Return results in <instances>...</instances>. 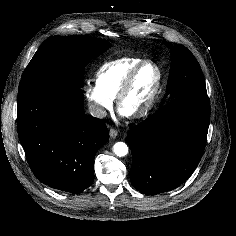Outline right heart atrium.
I'll use <instances>...</instances> for the list:
<instances>
[{
  "mask_svg": "<svg viewBox=\"0 0 236 236\" xmlns=\"http://www.w3.org/2000/svg\"><path fill=\"white\" fill-rule=\"evenodd\" d=\"M85 98L93 115L102 118L112 110L113 99H111L95 82H89L85 88Z\"/></svg>",
  "mask_w": 236,
  "mask_h": 236,
  "instance_id": "1",
  "label": "right heart atrium"
}]
</instances>
